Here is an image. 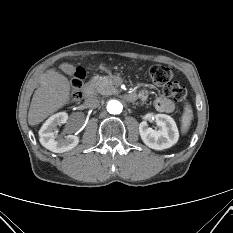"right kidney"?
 I'll return each mask as SVG.
<instances>
[{"label":"right kidney","instance_id":"ca27d5eb","mask_svg":"<svg viewBox=\"0 0 233 233\" xmlns=\"http://www.w3.org/2000/svg\"><path fill=\"white\" fill-rule=\"evenodd\" d=\"M68 114L59 112L49 117L39 131L40 143L46 149L63 153L76 147L79 143V137L76 135H67L64 138L56 139L58 134V126L66 123Z\"/></svg>","mask_w":233,"mask_h":233}]
</instances>
